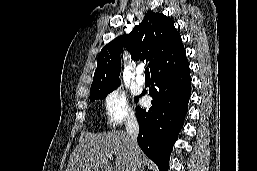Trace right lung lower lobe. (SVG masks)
Instances as JSON below:
<instances>
[{"label": "right lung lower lobe", "instance_id": "98d812e1", "mask_svg": "<svg viewBox=\"0 0 257 171\" xmlns=\"http://www.w3.org/2000/svg\"><path fill=\"white\" fill-rule=\"evenodd\" d=\"M149 95L153 98L152 107L149 110L136 108L140 126L138 145L160 171H167L169 155L183 127L191 95L187 58L175 66L155 72Z\"/></svg>", "mask_w": 257, "mask_h": 171}]
</instances>
